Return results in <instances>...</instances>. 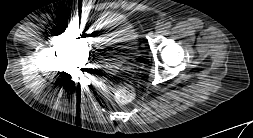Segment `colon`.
Returning <instances> with one entry per match:
<instances>
[{
	"instance_id": "obj_1",
	"label": "colon",
	"mask_w": 253,
	"mask_h": 138,
	"mask_svg": "<svg viewBox=\"0 0 253 138\" xmlns=\"http://www.w3.org/2000/svg\"><path fill=\"white\" fill-rule=\"evenodd\" d=\"M114 97L120 104H126L133 100L135 89L133 85L126 79L120 80L114 85Z\"/></svg>"
}]
</instances>
